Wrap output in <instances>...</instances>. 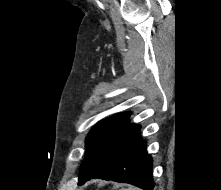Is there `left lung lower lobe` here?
Here are the masks:
<instances>
[{"label":"left lung lower lobe","mask_w":221,"mask_h":190,"mask_svg":"<svg viewBox=\"0 0 221 190\" xmlns=\"http://www.w3.org/2000/svg\"><path fill=\"white\" fill-rule=\"evenodd\" d=\"M139 130L140 125L128 124L105 149L92 170L79 179L78 185L101 178L153 190L152 159Z\"/></svg>","instance_id":"1"}]
</instances>
